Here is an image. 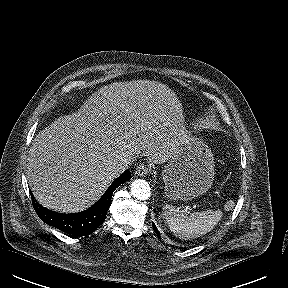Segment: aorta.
<instances>
[{
	"instance_id": "obj_1",
	"label": "aorta",
	"mask_w": 288,
	"mask_h": 288,
	"mask_svg": "<svg viewBox=\"0 0 288 288\" xmlns=\"http://www.w3.org/2000/svg\"><path fill=\"white\" fill-rule=\"evenodd\" d=\"M131 194L138 200H147L151 195V188L147 181L135 179L131 183Z\"/></svg>"
}]
</instances>
